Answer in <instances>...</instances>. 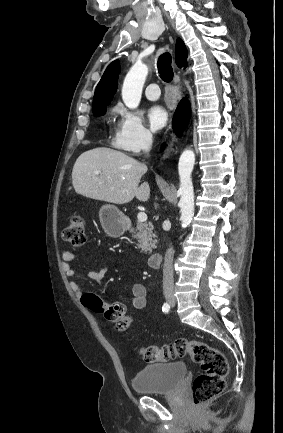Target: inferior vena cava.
<instances>
[{"label":"inferior vena cava","instance_id":"obj_1","mask_svg":"<svg viewBox=\"0 0 283 433\" xmlns=\"http://www.w3.org/2000/svg\"><path fill=\"white\" fill-rule=\"evenodd\" d=\"M152 144L151 138H145L142 148L143 150H150ZM173 259L174 251L172 247L167 249L165 259H164V269H163V293H173Z\"/></svg>","mask_w":283,"mask_h":433}]
</instances>
